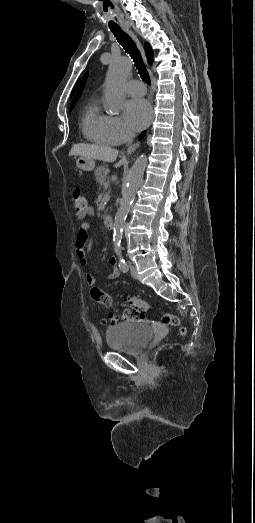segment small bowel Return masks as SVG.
I'll return each instance as SVG.
<instances>
[{
    "label": "small bowel",
    "mask_w": 255,
    "mask_h": 523,
    "mask_svg": "<svg viewBox=\"0 0 255 523\" xmlns=\"http://www.w3.org/2000/svg\"><path fill=\"white\" fill-rule=\"evenodd\" d=\"M93 215H94V210L91 207L87 208L85 211L76 213V216L79 220H83L86 217L93 216ZM89 229H90L89 222H87V221L81 222V224L79 225L78 234L76 237V256H77L80 264L85 267L88 265L87 254L92 247V243L88 236ZM108 263L113 267V269L109 273L107 278L111 281H114L120 275V272H119L118 268L116 267L117 260L115 257H109ZM86 276H87V281L89 283L93 282L92 275L89 272H87Z\"/></svg>",
    "instance_id": "1"
}]
</instances>
